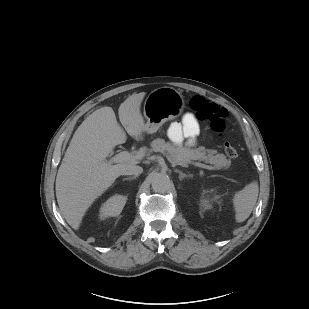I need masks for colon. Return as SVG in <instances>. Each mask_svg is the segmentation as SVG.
<instances>
[{"instance_id":"1","label":"colon","mask_w":309,"mask_h":309,"mask_svg":"<svg viewBox=\"0 0 309 309\" xmlns=\"http://www.w3.org/2000/svg\"><path fill=\"white\" fill-rule=\"evenodd\" d=\"M189 106L195 117L201 121L208 122L214 131L222 132L225 129L228 116L225 108L202 96H193L189 101ZM224 150L229 158H237L239 156V150L231 142L224 144Z\"/></svg>"}]
</instances>
